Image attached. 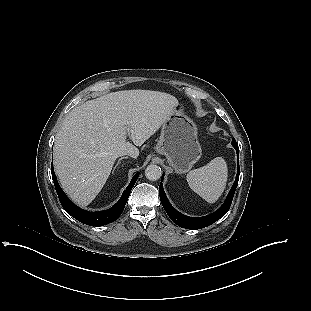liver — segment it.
I'll return each mask as SVG.
<instances>
[{"label": "liver", "mask_w": 311, "mask_h": 311, "mask_svg": "<svg viewBox=\"0 0 311 311\" xmlns=\"http://www.w3.org/2000/svg\"><path fill=\"white\" fill-rule=\"evenodd\" d=\"M179 104L159 91L124 90L89 100L65 118L54 143V168L66 194L90 204L122 154L136 158L141 146ZM134 145L126 141V136Z\"/></svg>", "instance_id": "liver-1"}]
</instances>
